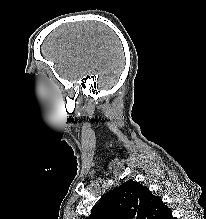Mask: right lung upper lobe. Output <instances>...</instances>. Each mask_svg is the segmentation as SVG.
I'll return each mask as SVG.
<instances>
[{"label": "right lung upper lobe", "instance_id": "cb5924a9", "mask_svg": "<svg viewBox=\"0 0 206 219\" xmlns=\"http://www.w3.org/2000/svg\"><path fill=\"white\" fill-rule=\"evenodd\" d=\"M86 219H173L170 209L149 189L129 180L110 191Z\"/></svg>", "mask_w": 206, "mask_h": 219}]
</instances>
